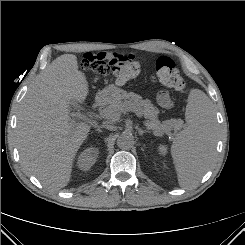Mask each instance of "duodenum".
Here are the masks:
<instances>
[{
  "label": "duodenum",
  "instance_id": "obj_1",
  "mask_svg": "<svg viewBox=\"0 0 245 245\" xmlns=\"http://www.w3.org/2000/svg\"><path fill=\"white\" fill-rule=\"evenodd\" d=\"M107 101V96L106 95H99L95 102H94V109H99L101 108Z\"/></svg>",
  "mask_w": 245,
  "mask_h": 245
}]
</instances>
